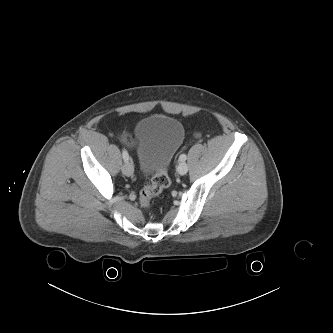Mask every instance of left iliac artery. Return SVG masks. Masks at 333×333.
I'll list each match as a JSON object with an SVG mask.
<instances>
[{"label":"left iliac artery","mask_w":333,"mask_h":333,"mask_svg":"<svg viewBox=\"0 0 333 333\" xmlns=\"http://www.w3.org/2000/svg\"><path fill=\"white\" fill-rule=\"evenodd\" d=\"M186 159H187L186 154H181V155L179 156V160L182 161V162H184Z\"/></svg>","instance_id":"left-iliac-artery-1"}]
</instances>
